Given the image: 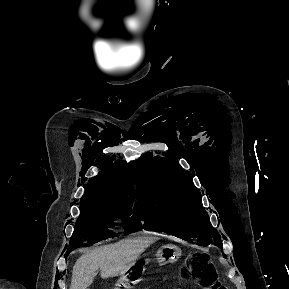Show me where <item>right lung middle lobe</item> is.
<instances>
[{"label": "right lung middle lobe", "instance_id": "dd1d6c3e", "mask_svg": "<svg viewBox=\"0 0 289 289\" xmlns=\"http://www.w3.org/2000/svg\"><path fill=\"white\" fill-rule=\"evenodd\" d=\"M132 207L133 203L126 201L81 202V213L76 221L65 257L79 246H89L115 236L110 230L114 226L115 218L124 221L126 233L140 230L137 211L134 212Z\"/></svg>", "mask_w": 289, "mask_h": 289}]
</instances>
